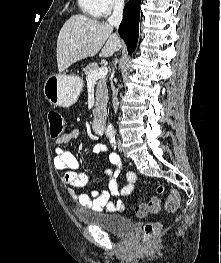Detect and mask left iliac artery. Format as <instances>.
I'll return each instance as SVG.
<instances>
[{
	"label": "left iliac artery",
	"instance_id": "1",
	"mask_svg": "<svg viewBox=\"0 0 221 263\" xmlns=\"http://www.w3.org/2000/svg\"><path fill=\"white\" fill-rule=\"evenodd\" d=\"M109 139H110V144L112 147L116 148V141H115V136L113 134L109 135Z\"/></svg>",
	"mask_w": 221,
	"mask_h": 263
}]
</instances>
